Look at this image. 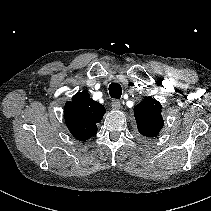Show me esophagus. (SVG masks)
Returning <instances> with one entry per match:
<instances>
[{
  "label": "esophagus",
  "mask_w": 211,
  "mask_h": 211,
  "mask_svg": "<svg viewBox=\"0 0 211 211\" xmlns=\"http://www.w3.org/2000/svg\"><path fill=\"white\" fill-rule=\"evenodd\" d=\"M111 106H112L113 109L118 110V109L121 108V103H120L119 100L114 99L111 102Z\"/></svg>",
  "instance_id": "esophagus-1"
}]
</instances>
